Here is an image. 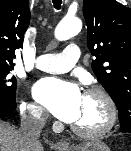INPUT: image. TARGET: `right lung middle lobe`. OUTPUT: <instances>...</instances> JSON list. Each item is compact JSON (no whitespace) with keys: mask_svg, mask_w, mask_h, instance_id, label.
I'll return each instance as SVG.
<instances>
[{"mask_svg":"<svg viewBox=\"0 0 131 151\" xmlns=\"http://www.w3.org/2000/svg\"><path fill=\"white\" fill-rule=\"evenodd\" d=\"M13 66H0V100L15 102L17 82L11 76Z\"/></svg>","mask_w":131,"mask_h":151,"instance_id":"1","label":"right lung middle lobe"}]
</instances>
